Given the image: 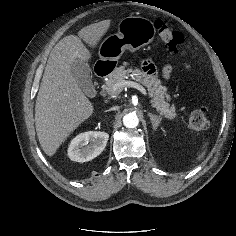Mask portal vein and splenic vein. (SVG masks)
<instances>
[{
    "instance_id": "1",
    "label": "portal vein and splenic vein",
    "mask_w": 236,
    "mask_h": 236,
    "mask_svg": "<svg viewBox=\"0 0 236 236\" xmlns=\"http://www.w3.org/2000/svg\"><path fill=\"white\" fill-rule=\"evenodd\" d=\"M124 87H132V88H136L137 90H139L142 94H144L145 96H147V91L146 89L141 86L140 84L133 82V81H122L120 83H117L116 85L113 86V91H120L121 89H123Z\"/></svg>"
}]
</instances>
